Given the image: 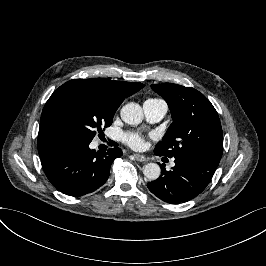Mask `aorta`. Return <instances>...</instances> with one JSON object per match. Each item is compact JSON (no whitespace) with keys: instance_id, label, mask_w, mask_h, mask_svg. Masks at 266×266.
<instances>
[{"instance_id":"762f6f07","label":"aorta","mask_w":266,"mask_h":266,"mask_svg":"<svg viewBox=\"0 0 266 266\" xmlns=\"http://www.w3.org/2000/svg\"><path fill=\"white\" fill-rule=\"evenodd\" d=\"M121 118L127 124L138 125L144 119V112L138 103L130 102L121 109ZM143 174L149 180H156L161 174V168L151 162L144 166Z\"/></svg>"}]
</instances>
